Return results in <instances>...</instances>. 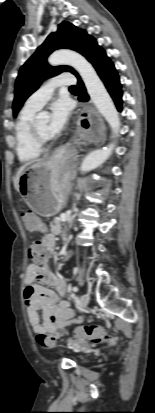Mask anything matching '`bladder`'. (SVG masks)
<instances>
[{
  "mask_svg": "<svg viewBox=\"0 0 155 413\" xmlns=\"http://www.w3.org/2000/svg\"><path fill=\"white\" fill-rule=\"evenodd\" d=\"M85 361H87V359H86V358H83V359H82V362H85Z\"/></svg>",
  "mask_w": 155,
  "mask_h": 413,
  "instance_id": "bladder-1",
  "label": "bladder"
}]
</instances>
